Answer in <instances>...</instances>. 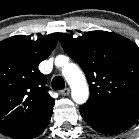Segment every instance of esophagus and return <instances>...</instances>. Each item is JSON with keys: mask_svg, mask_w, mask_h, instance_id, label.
Returning <instances> with one entry per match:
<instances>
[{"mask_svg": "<svg viewBox=\"0 0 139 139\" xmlns=\"http://www.w3.org/2000/svg\"><path fill=\"white\" fill-rule=\"evenodd\" d=\"M60 93L63 96L69 95L70 89L69 88H65V89L61 90Z\"/></svg>", "mask_w": 139, "mask_h": 139, "instance_id": "1", "label": "esophagus"}]
</instances>
